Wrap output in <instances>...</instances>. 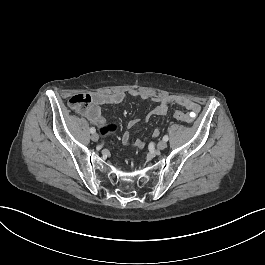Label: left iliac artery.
Returning a JSON list of instances; mask_svg holds the SVG:
<instances>
[{"label": "left iliac artery", "mask_w": 265, "mask_h": 265, "mask_svg": "<svg viewBox=\"0 0 265 265\" xmlns=\"http://www.w3.org/2000/svg\"><path fill=\"white\" fill-rule=\"evenodd\" d=\"M168 139H169V137H168L167 135H165V136L163 137V140H164V141H168Z\"/></svg>", "instance_id": "obj_1"}]
</instances>
